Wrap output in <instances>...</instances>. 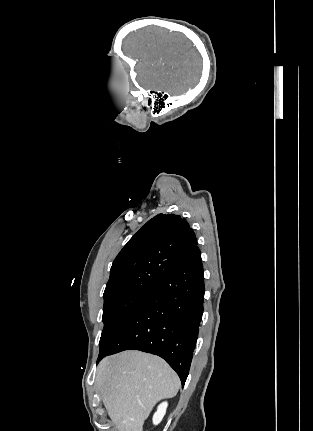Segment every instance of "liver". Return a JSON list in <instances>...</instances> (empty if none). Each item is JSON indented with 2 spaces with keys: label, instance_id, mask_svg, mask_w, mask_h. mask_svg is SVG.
Returning <instances> with one entry per match:
<instances>
[{
  "label": "liver",
  "instance_id": "6515ba94",
  "mask_svg": "<svg viewBox=\"0 0 313 431\" xmlns=\"http://www.w3.org/2000/svg\"><path fill=\"white\" fill-rule=\"evenodd\" d=\"M96 381L118 431H142L156 403L174 397L180 388L177 374L163 359L139 351L104 358Z\"/></svg>",
  "mask_w": 313,
  "mask_h": 431
}]
</instances>
